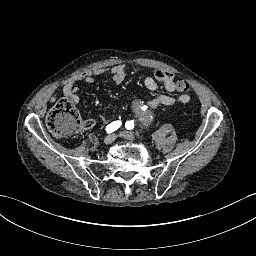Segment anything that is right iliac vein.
<instances>
[{
  "mask_svg": "<svg viewBox=\"0 0 256 256\" xmlns=\"http://www.w3.org/2000/svg\"><path fill=\"white\" fill-rule=\"evenodd\" d=\"M114 140H115V135L110 134V135H107V136L104 138L103 143H104L105 145H109V144L113 143Z\"/></svg>",
  "mask_w": 256,
  "mask_h": 256,
  "instance_id": "1",
  "label": "right iliac vein"
}]
</instances>
